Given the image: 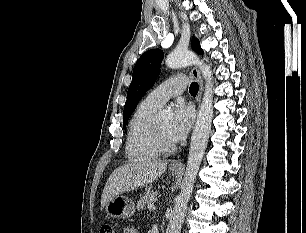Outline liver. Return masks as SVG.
<instances>
[{"label": "liver", "instance_id": "obj_1", "mask_svg": "<svg viewBox=\"0 0 306 233\" xmlns=\"http://www.w3.org/2000/svg\"><path fill=\"white\" fill-rule=\"evenodd\" d=\"M167 168V161L136 160L115 169L108 178L102 196L101 209L119 194L155 181Z\"/></svg>", "mask_w": 306, "mask_h": 233}]
</instances>
